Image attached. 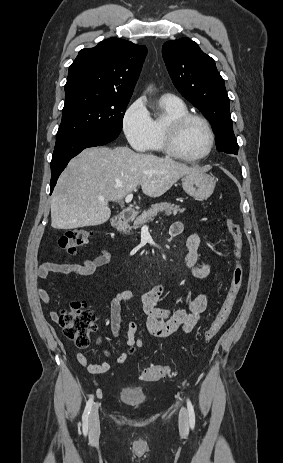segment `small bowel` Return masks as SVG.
<instances>
[{
  "mask_svg": "<svg viewBox=\"0 0 283 463\" xmlns=\"http://www.w3.org/2000/svg\"><path fill=\"white\" fill-rule=\"evenodd\" d=\"M183 232L184 224L180 221L174 222L169 231L172 237L180 236ZM200 241V236L196 232L188 236L186 240L187 253L185 255L186 267L192 277L196 279L211 277L216 281L218 272L213 269L211 264L208 262L203 264L198 263ZM110 258L111 256L108 251L101 250L100 255L92 259H84L81 264L46 262L39 267L38 277L40 280H45L53 273L87 276L92 274L96 268L107 264ZM164 293L165 288L161 284L153 286L139 300L135 293L130 290L116 292L110 301L109 327L112 335L115 337L120 335L122 324L121 303L132 300H138L141 304L143 313L146 316L145 326L151 336L168 337L178 331L190 333L207 308L208 295L201 293L187 299L186 308L167 309L158 305ZM39 295L44 303H50L51 298L45 288H39ZM51 316L53 319H58L56 312H52ZM137 330L138 325L135 322L128 324L126 345L130 349L141 348L144 345L145 337L141 336L137 338ZM130 352L131 350L121 353L117 357L116 363L121 364L125 362ZM76 358L79 364L92 374H101L110 369L109 363H92L84 353H78Z\"/></svg>",
  "mask_w": 283,
  "mask_h": 463,
  "instance_id": "obj_1",
  "label": "small bowel"
}]
</instances>
